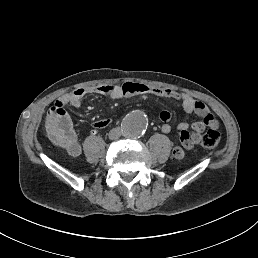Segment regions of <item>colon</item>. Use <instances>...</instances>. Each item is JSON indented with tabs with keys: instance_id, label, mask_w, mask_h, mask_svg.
<instances>
[{
	"instance_id": "1",
	"label": "colon",
	"mask_w": 258,
	"mask_h": 258,
	"mask_svg": "<svg viewBox=\"0 0 258 258\" xmlns=\"http://www.w3.org/2000/svg\"><path fill=\"white\" fill-rule=\"evenodd\" d=\"M220 141V134L217 129L210 128L202 136L201 145L206 149L215 148Z\"/></svg>"
}]
</instances>
